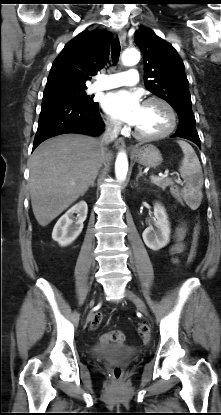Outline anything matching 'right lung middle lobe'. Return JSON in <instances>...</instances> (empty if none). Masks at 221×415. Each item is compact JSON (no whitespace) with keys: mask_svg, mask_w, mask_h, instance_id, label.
<instances>
[{"mask_svg":"<svg viewBox=\"0 0 221 415\" xmlns=\"http://www.w3.org/2000/svg\"><path fill=\"white\" fill-rule=\"evenodd\" d=\"M85 89L86 88L63 90V91H57V92L44 94L43 100L61 99V100H68V101L81 103L85 105H98V103L93 101L92 97L86 95Z\"/></svg>","mask_w":221,"mask_h":415,"instance_id":"dd1d6c3e","label":"right lung middle lobe"}]
</instances>
